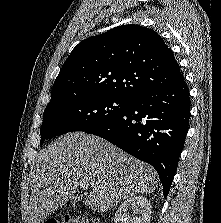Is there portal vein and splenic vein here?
Here are the masks:
<instances>
[{"instance_id":"18ae733b","label":"portal vein and splenic vein","mask_w":221,"mask_h":223,"mask_svg":"<svg viewBox=\"0 0 221 223\" xmlns=\"http://www.w3.org/2000/svg\"><path fill=\"white\" fill-rule=\"evenodd\" d=\"M80 187H81L83 190H86V189L88 188V184H86L85 182H81Z\"/></svg>"}]
</instances>
